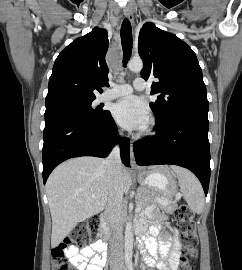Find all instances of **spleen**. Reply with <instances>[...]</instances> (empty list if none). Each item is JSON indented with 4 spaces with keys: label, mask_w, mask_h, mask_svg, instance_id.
Returning <instances> with one entry per match:
<instances>
[{
    "label": "spleen",
    "mask_w": 242,
    "mask_h": 270,
    "mask_svg": "<svg viewBox=\"0 0 242 270\" xmlns=\"http://www.w3.org/2000/svg\"><path fill=\"white\" fill-rule=\"evenodd\" d=\"M171 168L177 175L184 200L195 213L200 214L204 208V192L201 184L187 169L178 166Z\"/></svg>",
    "instance_id": "spleen-1"
}]
</instances>
